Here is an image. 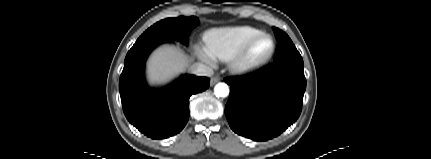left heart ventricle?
<instances>
[{
	"instance_id": "left-heart-ventricle-1",
	"label": "left heart ventricle",
	"mask_w": 431,
	"mask_h": 159,
	"mask_svg": "<svg viewBox=\"0 0 431 159\" xmlns=\"http://www.w3.org/2000/svg\"><path fill=\"white\" fill-rule=\"evenodd\" d=\"M270 47V41L268 39H260L253 47L251 51L252 57H258L264 54Z\"/></svg>"
}]
</instances>
